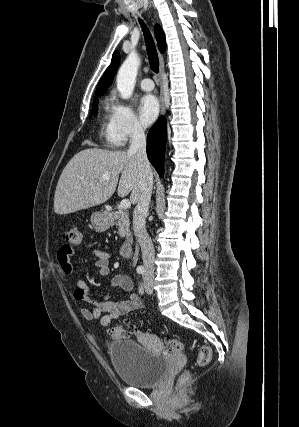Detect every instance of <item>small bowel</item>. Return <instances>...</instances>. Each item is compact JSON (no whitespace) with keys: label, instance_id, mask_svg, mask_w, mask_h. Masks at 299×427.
I'll return each instance as SVG.
<instances>
[{"label":"small bowel","instance_id":"obj_1","mask_svg":"<svg viewBox=\"0 0 299 427\" xmlns=\"http://www.w3.org/2000/svg\"><path fill=\"white\" fill-rule=\"evenodd\" d=\"M93 252L96 256L95 267L98 274L101 276L108 275L110 271L109 253L100 249H94ZM75 254V250L71 246L64 245L61 247L57 260L63 273L69 275L75 272V265L72 261ZM109 287L119 288L124 292H131L133 289V282L128 276L115 275L110 280ZM90 291L91 288L88 283L83 279H78L73 297L78 302L91 301L89 296ZM92 305V308L83 307L80 309L82 318L87 321H99L102 326L106 327L109 326L113 320L141 308L143 303L136 295H131L124 301H113L108 295H104L101 301H92Z\"/></svg>","mask_w":299,"mask_h":427}]
</instances>
